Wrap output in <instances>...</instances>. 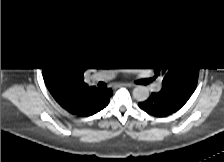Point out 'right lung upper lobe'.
<instances>
[{"mask_svg": "<svg viewBox=\"0 0 224 162\" xmlns=\"http://www.w3.org/2000/svg\"><path fill=\"white\" fill-rule=\"evenodd\" d=\"M89 63H71L66 58L43 70L45 84L54 99L68 112L78 116L95 114L112 95L111 89L88 88L83 73L88 69L85 64Z\"/></svg>", "mask_w": 224, "mask_h": 162, "instance_id": "obj_1", "label": "right lung upper lobe"}]
</instances>
